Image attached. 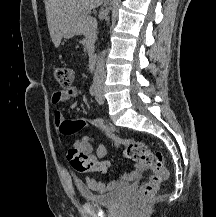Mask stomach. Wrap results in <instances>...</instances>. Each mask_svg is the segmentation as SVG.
Wrapping results in <instances>:
<instances>
[{"label": "stomach", "instance_id": "1", "mask_svg": "<svg viewBox=\"0 0 216 217\" xmlns=\"http://www.w3.org/2000/svg\"><path fill=\"white\" fill-rule=\"evenodd\" d=\"M74 34H75V24L72 25L71 27H69V29L65 33V37L66 38H71V37L74 36Z\"/></svg>", "mask_w": 216, "mask_h": 217}]
</instances>
